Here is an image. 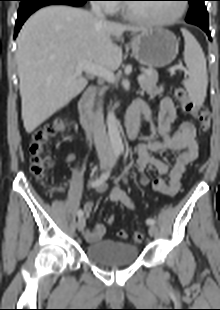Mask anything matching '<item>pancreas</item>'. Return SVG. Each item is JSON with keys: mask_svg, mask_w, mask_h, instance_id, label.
Returning <instances> with one entry per match:
<instances>
[{"mask_svg": "<svg viewBox=\"0 0 220 310\" xmlns=\"http://www.w3.org/2000/svg\"><path fill=\"white\" fill-rule=\"evenodd\" d=\"M157 82V71L153 68H148L145 70L144 80L140 82V87L142 91L146 92L151 97L161 95L164 91V87L162 85L158 87Z\"/></svg>", "mask_w": 220, "mask_h": 310, "instance_id": "pancreas-1", "label": "pancreas"}]
</instances>
